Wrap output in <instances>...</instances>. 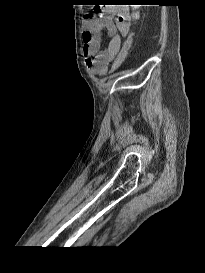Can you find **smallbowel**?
<instances>
[{
  "mask_svg": "<svg viewBox=\"0 0 205 273\" xmlns=\"http://www.w3.org/2000/svg\"><path fill=\"white\" fill-rule=\"evenodd\" d=\"M132 27L133 18L115 6H105L98 11V16L85 19L82 33L84 56L86 65L93 74L107 73ZM104 32L108 33V40L101 50V36Z\"/></svg>",
  "mask_w": 205,
  "mask_h": 273,
  "instance_id": "obj_1",
  "label": "small bowel"
}]
</instances>
